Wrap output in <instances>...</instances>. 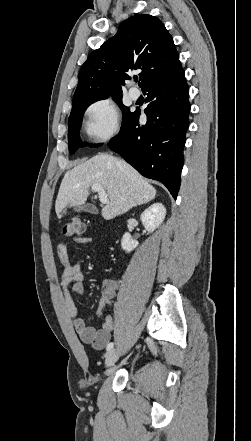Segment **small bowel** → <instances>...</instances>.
Returning <instances> with one entry per match:
<instances>
[{"instance_id":"1","label":"small bowel","mask_w":251,"mask_h":441,"mask_svg":"<svg viewBox=\"0 0 251 441\" xmlns=\"http://www.w3.org/2000/svg\"><path fill=\"white\" fill-rule=\"evenodd\" d=\"M75 242L78 244H90L91 239L78 237L75 239ZM57 256L63 267L59 276V286L63 292L65 307L73 327L82 342L91 345L96 350H102L109 344L111 334L116 328L115 318L110 314L104 316V311L111 305L112 300L115 298L118 283L112 279H105L102 282L101 298L97 310V316L102 318V326L100 329L89 326L79 316L77 306L73 299V296H81L85 292L84 278L86 276V270L81 262L71 263L65 244L61 243L57 246Z\"/></svg>"}]
</instances>
